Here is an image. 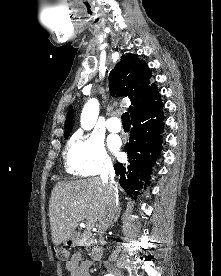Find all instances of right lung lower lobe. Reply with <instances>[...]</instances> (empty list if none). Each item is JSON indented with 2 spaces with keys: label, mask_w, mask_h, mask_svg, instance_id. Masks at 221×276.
<instances>
[{
  "label": "right lung lower lobe",
  "mask_w": 221,
  "mask_h": 276,
  "mask_svg": "<svg viewBox=\"0 0 221 276\" xmlns=\"http://www.w3.org/2000/svg\"><path fill=\"white\" fill-rule=\"evenodd\" d=\"M162 101L144 112L131 117L133 128L129 142L125 145L128 153V164L116 163L115 173L119 183L129 195L135 196L143 187L142 180L149 183L152 167L161 150L164 129Z\"/></svg>",
  "instance_id": "right-lung-lower-lobe-1"
}]
</instances>
